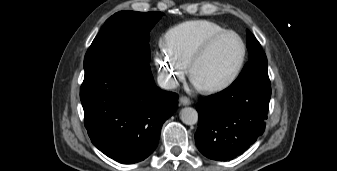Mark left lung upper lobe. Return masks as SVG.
Masks as SVG:
<instances>
[{
  "label": "left lung upper lobe",
  "mask_w": 337,
  "mask_h": 171,
  "mask_svg": "<svg viewBox=\"0 0 337 171\" xmlns=\"http://www.w3.org/2000/svg\"><path fill=\"white\" fill-rule=\"evenodd\" d=\"M247 48L249 51V61L246 63L239 77L231 85L252 81L270 84L266 55L260 43L250 31H247Z\"/></svg>",
  "instance_id": "left-lung-upper-lobe-1"
}]
</instances>
